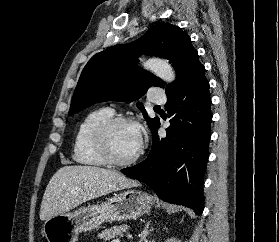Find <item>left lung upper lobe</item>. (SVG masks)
<instances>
[{"instance_id": "left-lung-upper-lobe-1", "label": "left lung upper lobe", "mask_w": 279, "mask_h": 242, "mask_svg": "<svg viewBox=\"0 0 279 242\" xmlns=\"http://www.w3.org/2000/svg\"><path fill=\"white\" fill-rule=\"evenodd\" d=\"M169 59L177 73L175 82L166 86V93L181 80L191 57L197 52L191 39L179 27L162 23L153 26L139 40L131 44L112 46L94 55L84 67L69 110L72 115L89 105L107 101L132 102L149 87L164 88L165 82L151 73L138 69L137 57L143 52ZM152 130L159 118L147 116L141 103L137 104Z\"/></svg>"}]
</instances>
